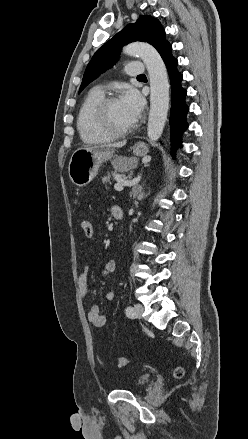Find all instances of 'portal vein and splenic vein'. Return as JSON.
Segmentation results:
<instances>
[{"instance_id": "portal-vein-and-splenic-vein-1", "label": "portal vein and splenic vein", "mask_w": 248, "mask_h": 439, "mask_svg": "<svg viewBox=\"0 0 248 439\" xmlns=\"http://www.w3.org/2000/svg\"><path fill=\"white\" fill-rule=\"evenodd\" d=\"M135 181L129 182V181H122L121 183H116L114 185V189L116 191H122L124 189V186H130L133 185Z\"/></svg>"}]
</instances>
